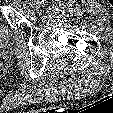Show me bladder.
Here are the masks:
<instances>
[{
	"label": "bladder",
	"instance_id": "bladder-1",
	"mask_svg": "<svg viewBox=\"0 0 113 113\" xmlns=\"http://www.w3.org/2000/svg\"><path fill=\"white\" fill-rule=\"evenodd\" d=\"M12 39V32L9 26L4 21L2 14L0 13V49L8 45Z\"/></svg>",
	"mask_w": 113,
	"mask_h": 113
}]
</instances>
